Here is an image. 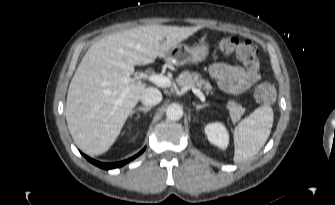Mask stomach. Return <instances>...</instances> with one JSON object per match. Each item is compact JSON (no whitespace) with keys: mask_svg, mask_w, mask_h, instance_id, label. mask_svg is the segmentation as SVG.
I'll use <instances>...</instances> for the list:
<instances>
[{"mask_svg":"<svg viewBox=\"0 0 335 205\" xmlns=\"http://www.w3.org/2000/svg\"><path fill=\"white\" fill-rule=\"evenodd\" d=\"M209 48L206 44L189 47L185 44H179L172 48L165 59L175 65H184L186 63H199L207 58Z\"/></svg>","mask_w":335,"mask_h":205,"instance_id":"1","label":"stomach"}]
</instances>
